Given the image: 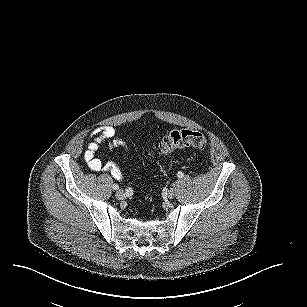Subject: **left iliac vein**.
Listing matches in <instances>:
<instances>
[{
  "label": "left iliac vein",
  "mask_w": 307,
  "mask_h": 307,
  "mask_svg": "<svg viewBox=\"0 0 307 307\" xmlns=\"http://www.w3.org/2000/svg\"><path fill=\"white\" fill-rule=\"evenodd\" d=\"M166 195L169 199H173L175 197V190L173 188L169 189Z\"/></svg>",
  "instance_id": "1"
}]
</instances>
